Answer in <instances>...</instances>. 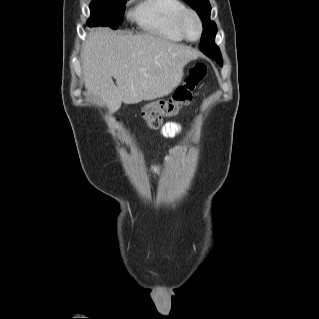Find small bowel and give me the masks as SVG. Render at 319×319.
I'll use <instances>...</instances> for the list:
<instances>
[{
    "instance_id": "small-bowel-1",
    "label": "small bowel",
    "mask_w": 319,
    "mask_h": 319,
    "mask_svg": "<svg viewBox=\"0 0 319 319\" xmlns=\"http://www.w3.org/2000/svg\"><path fill=\"white\" fill-rule=\"evenodd\" d=\"M181 135V126L175 122H169L163 126L161 129V136L165 139H175ZM179 148L178 145H175L173 149ZM152 170L156 173L160 172V168L156 165H152Z\"/></svg>"
}]
</instances>
